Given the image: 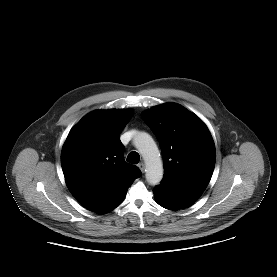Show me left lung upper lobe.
Wrapping results in <instances>:
<instances>
[{"mask_svg": "<svg viewBox=\"0 0 277 277\" xmlns=\"http://www.w3.org/2000/svg\"><path fill=\"white\" fill-rule=\"evenodd\" d=\"M156 135L164 161L162 185L202 194L215 166V146L204 122L183 106L166 103L142 114Z\"/></svg>", "mask_w": 277, "mask_h": 277, "instance_id": "1", "label": "left lung upper lobe"}]
</instances>
